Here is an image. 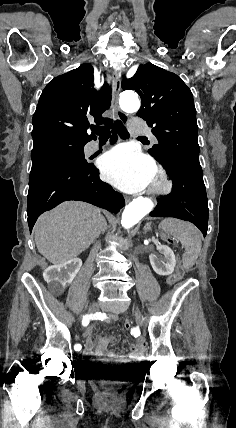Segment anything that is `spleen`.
Returning <instances> with one entry per match:
<instances>
[{"label":"spleen","mask_w":236,"mask_h":428,"mask_svg":"<svg viewBox=\"0 0 236 428\" xmlns=\"http://www.w3.org/2000/svg\"><path fill=\"white\" fill-rule=\"evenodd\" d=\"M160 228L180 240L183 248H185L183 266L184 268H192L201 250V234L199 230L190 222H182V220H176V218H165L161 222Z\"/></svg>","instance_id":"obj_1"}]
</instances>
